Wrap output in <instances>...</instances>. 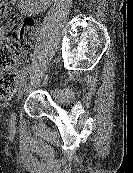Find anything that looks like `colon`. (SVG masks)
I'll return each instance as SVG.
<instances>
[{
	"mask_svg": "<svg viewBox=\"0 0 133 173\" xmlns=\"http://www.w3.org/2000/svg\"><path fill=\"white\" fill-rule=\"evenodd\" d=\"M0 0V98L9 99L17 85V64L30 48L34 22L22 18Z\"/></svg>",
	"mask_w": 133,
	"mask_h": 173,
	"instance_id": "5ec220e1",
	"label": "colon"
}]
</instances>
